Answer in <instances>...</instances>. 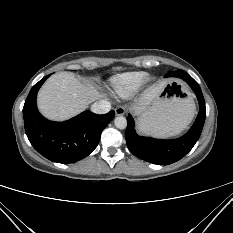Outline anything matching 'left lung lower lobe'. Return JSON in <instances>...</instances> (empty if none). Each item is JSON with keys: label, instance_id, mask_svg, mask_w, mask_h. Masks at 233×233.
Segmentation results:
<instances>
[{"label": "left lung lower lobe", "instance_id": "obj_1", "mask_svg": "<svg viewBox=\"0 0 233 233\" xmlns=\"http://www.w3.org/2000/svg\"><path fill=\"white\" fill-rule=\"evenodd\" d=\"M165 77H177L187 82L197 96L200 109L197 119L190 130L184 136L171 140L139 136L135 132V123L132 116L128 115V125L125 132L128 149L136 157L158 165H168L184 157L198 141L206 117L202 91L198 83L190 75L183 70H177L167 73Z\"/></svg>", "mask_w": 233, "mask_h": 233}]
</instances>
